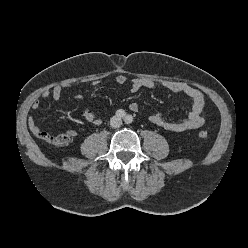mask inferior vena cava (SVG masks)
Segmentation results:
<instances>
[{
    "instance_id": "obj_1",
    "label": "inferior vena cava",
    "mask_w": 248,
    "mask_h": 248,
    "mask_svg": "<svg viewBox=\"0 0 248 248\" xmlns=\"http://www.w3.org/2000/svg\"><path fill=\"white\" fill-rule=\"evenodd\" d=\"M122 125V120L119 117L113 116L110 120V126L112 128H118Z\"/></svg>"
}]
</instances>
